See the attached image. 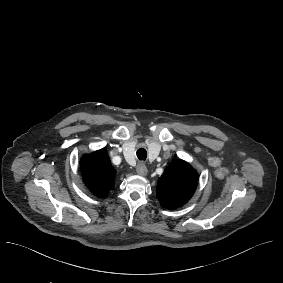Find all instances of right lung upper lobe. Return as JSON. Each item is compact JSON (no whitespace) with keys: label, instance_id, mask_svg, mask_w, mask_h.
Wrapping results in <instances>:
<instances>
[{"label":"right lung upper lobe","instance_id":"cb5924a9","mask_svg":"<svg viewBox=\"0 0 283 283\" xmlns=\"http://www.w3.org/2000/svg\"><path fill=\"white\" fill-rule=\"evenodd\" d=\"M80 166L86 186L96 196L105 195L114 187L116 170L111 166L106 149L84 155Z\"/></svg>","mask_w":283,"mask_h":283}]
</instances>
